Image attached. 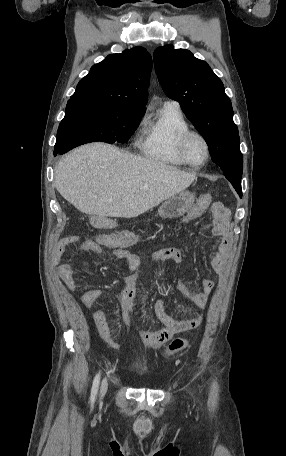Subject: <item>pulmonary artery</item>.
Here are the masks:
<instances>
[{
	"instance_id": "obj_1",
	"label": "pulmonary artery",
	"mask_w": 286,
	"mask_h": 456,
	"mask_svg": "<svg viewBox=\"0 0 286 456\" xmlns=\"http://www.w3.org/2000/svg\"><path fill=\"white\" fill-rule=\"evenodd\" d=\"M164 105L180 109L179 103L177 101L169 100L166 101Z\"/></svg>"
}]
</instances>
